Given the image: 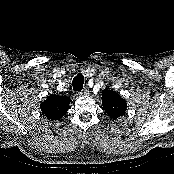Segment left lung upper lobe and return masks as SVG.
Instances as JSON below:
<instances>
[{
    "instance_id": "obj_1",
    "label": "left lung upper lobe",
    "mask_w": 174,
    "mask_h": 174,
    "mask_svg": "<svg viewBox=\"0 0 174 174\" xmlns=\"http://www.w3.org/2000/svg\"><path fill=\"white\" fill-rule=\"evenodd\" d=\"M102 104L105 112L113 119L125 114L126 101L115 91L106 89L102 91Z\"/></svg>"
}]
</instances>
